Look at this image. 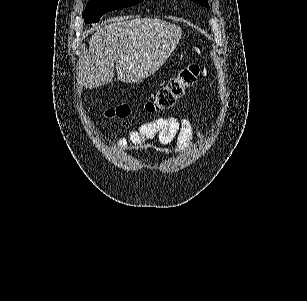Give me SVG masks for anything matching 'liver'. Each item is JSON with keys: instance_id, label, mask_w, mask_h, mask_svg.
I'll use <instances>...</instances> for the list:
<instances>
[{"instance_id": "liver-1", "label": "liver", "mask_w": 307, "mask_h": 301, "mask_svg": "<svg viewBox=\"0 0 307 301\" xmlns=\"http://www.w3.org/2000/svg\"><path fill=\"white\" fill-rule=\"evenodd\" d=\"M106 22L90 36L89 48L80 60L85 88L110 82L114 64L119 80L141 82L164 64L182 34L178 24L156 18H111Z\"/></svg>"}]
</instances>
